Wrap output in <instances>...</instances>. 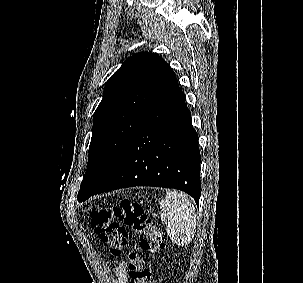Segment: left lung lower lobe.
Returning <instances> with one entry per match:
<instances>
[{
	"mask_svg": "<svg viewBox=\"0 0 303 283\" xmlns=\"http://www.w3.org/2000/svg\"><path fill=\"white\" fill-rule=\"evenodd\" d=\"M200 162L198 136L171 70L111 175L100 187L77 198L82 202L120 188L156 186L182 190L198 204Z\"/></svg>",
	"mask_w": 303,
	"mask_h": 283,
	"instance_id": "0a47b994",
	"label": "left lung lower lobe"
}]
</instances>
